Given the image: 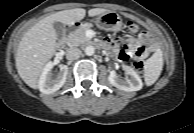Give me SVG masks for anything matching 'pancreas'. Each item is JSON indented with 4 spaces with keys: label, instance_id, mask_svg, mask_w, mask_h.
I'll list each match as a JSON object with an SVG mask.
<instances>
[{
    "label": "pancreas",
    "instance_id": "pancreas-1",
    "mask_svg": "<svg viewBox=\"0 0 194 133\" xmlns=\"http://www.w3.org/2000/svg\"><path fill=\"white\" fill-rule=\"evenodd\" d=\"M93 27L92 24H83L67 36V44L71 47L89 44L91 41L85 35L86 31Z\"/></svg>",
    "mask_w": 194,
    "mask_h": 133
}]
</instances>
